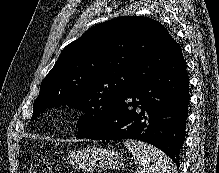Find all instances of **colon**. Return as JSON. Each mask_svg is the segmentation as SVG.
<instances>
[{
	"mask_svg": "<svg viewBox=\"0 0 219 173\" xmlns=\"http://www.w3.org/2000/svg\"><path fill=\"white\" fill-rule=\"evenodd\" d=\"M30 173H49L44 160H34L31 164Z\"/></svg>",
	"mask_w": 219,
	"mask_h": 173,
	"instance_id": "obj_1",
	"label": "colon"
}]
</instances>
